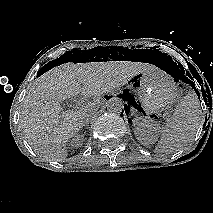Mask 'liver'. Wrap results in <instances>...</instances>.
Masks as SVG:
<instances>
[{"mask_svg":"<svg viewBox=\"0 0 213 213\" xmlns=\"http://www.w3.org/2000/svg\"><path fill=\"white\" fill-rule=\"evenodd\" d=\"M154 65L132 61L65 63L39 76L23 100L20 127L41 157L63 162L66 144L83 127L85 106L96 107L101 96ZM81 84L83 86H81ZM83 93L95 99L74 111L62 112L60 102Z\"/></svg>","mask_w":213,"mask_h":213,"instance_id":"obj_1","label":"liver"}]
</instances>
